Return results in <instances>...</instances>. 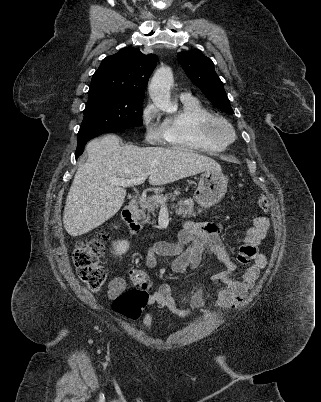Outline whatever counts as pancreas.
I'll use <instances>...</instances> for the list:
<instances>
[{"label":"pancreas","instance_id":"1","mask_svg":"<svg viewBox=\"0 0 321 402\" xmlns=\"http://www.w3.org/2000/svg\"><path fill=\"white\" fill-rule=\"evenodd\" d=\"M172 199L175 200V196L172 194H160L152 197H148L141 204L140 218L143 223L153 224L155 220L151 221V214L155 215L156 210L161 206L160 200ZM202 209H198V213H201ZM176 214L182 216L183 218L195 217L197 213L194 211L193 200L187 199L185 201L180 200L178 206H176Z\"/></svg>","mask_w":321,"mask_h":402}]
</instances>
